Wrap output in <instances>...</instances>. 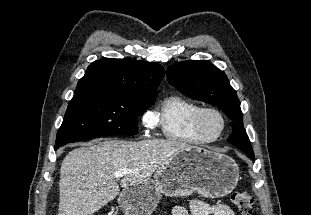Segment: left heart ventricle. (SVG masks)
<instances>
[{"mask_svg": "<svg viewBox=\"0 0 311 215\" xmlns=\"http://www.w3.org/2000/svg\"><path fill=\"white\" fill-rule=\"evenodd\" d=\"M204 124L209 133L215 134L220 128V120L214 114L205 117Z\"/></svg>", "mask_w": 311, "mask_h": 215, "instance_id": "b2bd125f", "label": "left heart ventricle"}]
</instances>
